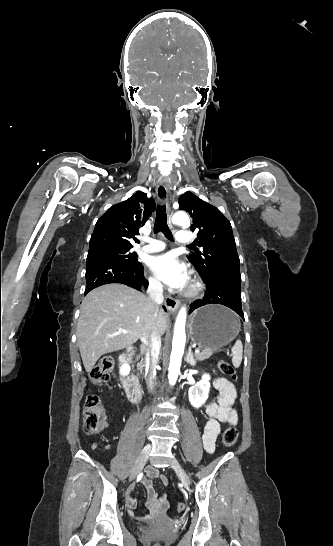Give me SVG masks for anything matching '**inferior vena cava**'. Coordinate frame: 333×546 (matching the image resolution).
<instances>
[{
    "instance_id": "inferior-vena-cava-1",
    "label": "inferior vena cava",
    "mask_w": 333,
    "mask_h": 546,
    "mask_svg": "<svg viewBox=\"0 0 333 546\" xmlns=\"http://www.w3.org/2000/svg\"><path fill=\"white\" fill-rule=\"evenodd\" d=\"M147 294L149 295L150 299L153 301L155 305V312L153 317V323H154V329L151 333L150 340H151V354L152 357L155 359L157 357V351L159 350L161 346V337L156 332V320H157V311L159 309V305L163 303V286L160 281L158 280H151L149 283V287L147 289ZM155 367L152 366L149 374H148V387L152 391L154 388V382H155V374H154Z\"/></svg>"
}]
</instances>
